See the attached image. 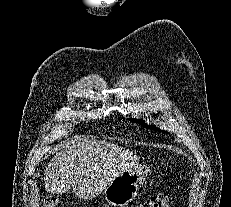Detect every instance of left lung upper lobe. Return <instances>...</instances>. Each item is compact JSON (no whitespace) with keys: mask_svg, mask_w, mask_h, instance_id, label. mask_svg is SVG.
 I'll list each match as a JSON object with an SVG mask.
<instances>
[{"mask_svg":"<svg viewBox=\"0 0 231 207\" xmlns=\"http://www.w3.org/2000/svg\"><path fill=\"white\" fill-rule=\"evenodd\" d=\"M133 121L137 122V123H140L142 126L146 127V128H149V129H153V130H159V131H163V130H160L159 128H157L156 126L154 125H147L145 123L144 120H138V119H133Z\"/></svg>","mask_w":231,"mask_h":207,"instance_id":"1","label":"left lung upper lobe"}]
</instances>
